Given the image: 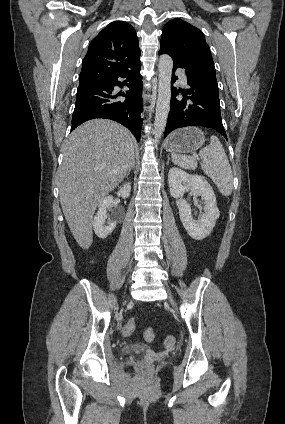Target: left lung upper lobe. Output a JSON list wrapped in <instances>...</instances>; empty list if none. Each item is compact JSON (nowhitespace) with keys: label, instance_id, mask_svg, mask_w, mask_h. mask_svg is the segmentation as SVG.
Segmentation results:
<instances>
[{"label":"left lung upper lobe","instance_id":"1","mask_svg":"<svg viewBox=\"0 0 285 424\" xmlns=\"http://www.w3.org/2000/svg\"><path fill=\"white\" fill-rule=\"evenodd\" d=\"M160 45V49L181 63L200 62L214 65L203 33L181 19H173L165 24Z\"/></svg>","mask_w":285,"mask_h":424}]
</instances>
